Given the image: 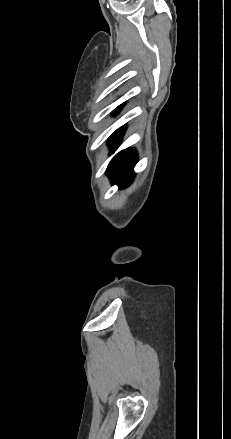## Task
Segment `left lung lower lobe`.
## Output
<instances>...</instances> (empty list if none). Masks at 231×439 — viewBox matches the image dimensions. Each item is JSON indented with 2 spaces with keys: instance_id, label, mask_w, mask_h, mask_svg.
Wrapping results in <instances>:
<instances>
[{
  "instance_id": "0a47b994",
  "label": "left lung lower lobe",
  "mask_w": 231,
  "mask_h": 439,
  "mask_svg": "<svg viewBox=\"0 0 231 439\" xmlns=\"http://www.w3.org/2000/svg\"><path fill=\"white\" fill-rule=\"evenodd\" d=\"M120 108L121 106L117 107L115 112L119 111ZM124 130L125 127L123 126L112 134L110 141L113 144V151L119 146ZM136 162L137 156L134 150L126 149L118 153L111 160L106 170L112 184H118L119 188L127 187L135 176L132 170Z\"/></svg>"
}]
</instances>
